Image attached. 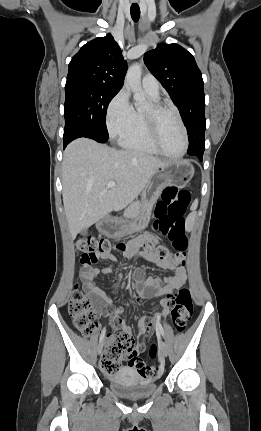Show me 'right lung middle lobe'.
Masks as SVG:
<instances>
[{
	"label": "right lung middle lobe",
	"mask_w": 261,
	"mask_h": 431,
	"mask_svg": "<svg viewBox=\"0 0 261 431\" xmlns=\"http://www.w3.org/2000/svg\"><path fill=\"white\" fill-rule=\"evenodd\" d=\"M118 92L117 89L87 80L67 81L63 139L87 137L100 143L106 142L108 140L106 111Z\"/></svg>",
	"instance_id": "right-lung-middle-lobe-1"
}]
</instances>
